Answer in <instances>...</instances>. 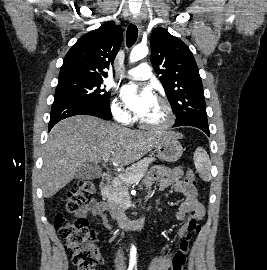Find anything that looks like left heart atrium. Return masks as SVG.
Masks as SVG:
<instances>
[{
	"mask_svg": "<svg viewBox=\"0 0 267 270\" xmlns=\"http://www.w3.org/2000/svg\"><path fill=\"white\" fill-rule=\"evenodd\" d=\"M127 106L140 117L156 102V97L150 87L140 88L137 85H125L121 89Z\"/></svg>",
	"mask_w": 267,
	"mask_h": 270,
	"instance_id": "obj_1",
	"label": "left heart atrium"
}]
</instances>
